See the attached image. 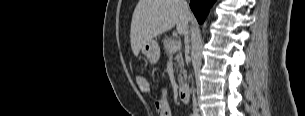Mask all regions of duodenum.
Returning <instances> with one entry per match:
<instances>
[{
    "instance_id": "duodenum-1",
    "label": "duodenum",
    "mask_w": 305,
    "mask_h": 116,
    "mask_svg": "<svg viewBox=\"0 0 305 116\" xmlns=\"http://www.w3.org/2000/svg\"><path fill=\"white\" fill-rule=\"evenodd\" d=\"M178 96L182 103L186 104L189 102V88L187 85L183 84L179 87Z\"/></svg>"
}]
</instances>
